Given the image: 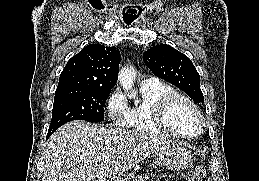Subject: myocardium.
Segmentation results:
<instances>
[{
    "mask_svg": "<svg viewBox=\"0 0 259 181\" xmlns=\"http://www.w3.org/2000/svg\"><path fill=\"white\" fill-rule=\"evenodd\" d=\"M183 101L187 103L195 112V114L198 117L199 126L198 130L195 133H185L178 129H176L171 121H170V114L174 107V105L179 102ZM155 116L157 123L159 126H161L163 129L168 131L174 136L182 137V138H193L199 136L204 128V118L203 115L197 106V104L188 96L183 95L178 92L169 93L166 96H164L157 104L155 108Z\"/></svg>",
    "mask_w": 259,
    "mask_h": 181,
    "instance_id": "1",
    "label": "myocardium"
}]
</instances>
